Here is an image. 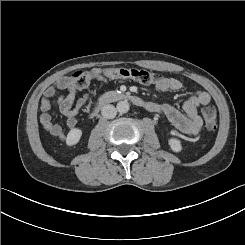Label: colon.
<instances>
[{
	"mask_svg": "<svg viewBox=\"0 0 245 245\" xmlns=\"http://www.w3.org/2000/svg\"><path fill=\"white\" fill-rule=\"evenodd\" d=\"M123 78L132 79L142 84L153 85L159 82L160 76L147 69L134 67H115L96 69L93 71H77L72 75V81L78 88L86 87L92 79ZM205 127L214 130L217 126V113L214 107L207 106L202 110Z\"/></svg>",
	"mask_w": 245,
	"mask_h": 245,
	"instance_id": "obj_1",
	"label": "colon"
}]
</instances>
